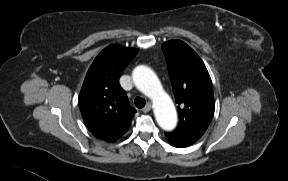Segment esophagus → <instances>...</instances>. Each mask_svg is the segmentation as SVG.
I'll list each match as a JSON object with an SVG mask.
<instances>
[{"instance_id": "obj_1", "label": "esophagus", "mask_w": 288, "mask_h": 181, "mask_svg": "<svg viewBox=\"0 0 288 181\" xmlns=\"http://www.w3.org/2000/svg\"><path fill=\"white\" fill-rule=\"evenodd\" d=\"M151 108H152V104H151V102H148V103L146 104V106L142 109V111H143L144 113H147V112H149V111L151 110Z\"/></svg>"}]
</instances>
